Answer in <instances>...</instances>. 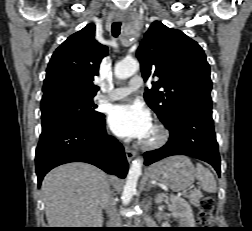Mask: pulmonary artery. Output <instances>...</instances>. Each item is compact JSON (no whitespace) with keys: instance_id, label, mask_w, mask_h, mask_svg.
<instances>
[{"instance_id":"obj_1","label":"pulmonary artery","mask_w":252,"mask_h":231,"mask_svg":"<svg viewBox=\"0 0 252 231\" xmlns=\"http://www.w3.org/2000/svg\"><path fill=\"white\" fill-rule=\"evenodd\" d=\"M142 86V78L140 76H134L129 80L128 85L113 89L108 96L104 97V100L116 101L122 99L131 94L133 91L138 90Z\"/></svg>"}]
</instances>
